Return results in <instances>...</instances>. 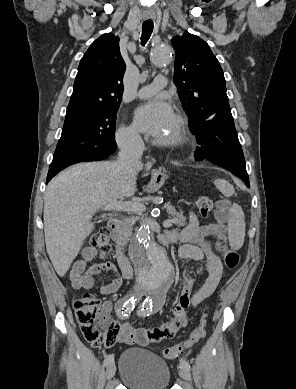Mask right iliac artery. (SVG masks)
<instances>
[{"label":"right iliac artery","instance_id":"right-iliac-artery-1","mask_svg":"<svg viewBox=\"0 0 296 389\" xmlns=\"http://www.w3.org/2000/svg\"><path fill=\"white\" fill-rule=\"evenodd\" d=\"M138 297L132 296L130 298L124 297L120 302L118 306V316L121 318H125V315L127 313H131L133 311L135 305L137 304ZM114 356L113 355H105L104 360V366L109 365L110 363H113Z\"/></svg>","mask_w":296,"mask_h":389}]
</instances>
